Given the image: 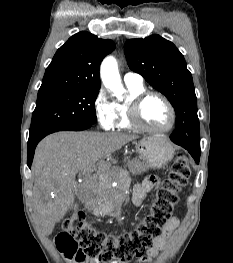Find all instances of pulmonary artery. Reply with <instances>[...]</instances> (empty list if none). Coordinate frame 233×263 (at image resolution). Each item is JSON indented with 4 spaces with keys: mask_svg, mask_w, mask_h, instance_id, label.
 Here are the masks:
<instances>
[{
    "mask_svg": "<svg viewBox=\"0 0 233 263\" xmlns=\"http://www.w3.org/2000/svg\"><path fill=\"white\" fill-rule=\"evenodd\" d=\"M124 81L126 84H143V78L140 74L134 72H127L124 75Z\"/></svg>",
    "mask_w": 233,
    "mask_h": 263,
    "instance_id": "obj_1",
    "label": "pulmonary artery"
}]
</instances>
